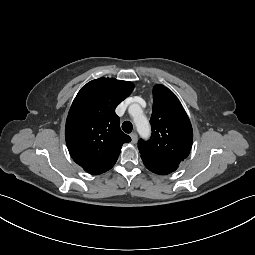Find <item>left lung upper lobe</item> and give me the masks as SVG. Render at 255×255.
<instances>
[{
    "label": "left lung upper lobe",
    "mask_w": 255,
    "mask_h": 255,
    "mask_svg": "<svg viewBox=\"0 0 255 255\" xmlns=\"http://www.w3.org/2000/svg\"><path fill=\"white\" fill-rule=\"evenodd\" d=\"M150 124L151 139L138 142L143 163L160 169H177L190 153L193 130L178 98L160 84L153 89Z\"/></svg>",
    "instance_id": "obj_1"
}]
</instances>
